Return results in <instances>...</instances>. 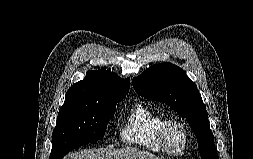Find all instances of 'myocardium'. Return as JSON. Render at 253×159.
<instances>
[{"instance_id":"myocardium-1","label":"myocardium","mask_w":253,"mask_h":159,"mask_svg":"<svg viewBox=\"0 0 253 159\" xmlns=\"http://www.w3.org/2000/svg\"><path fill=\"white\" fill-rule=\"evenodd\" d=\"M171 125L177 126L182 132L183 146L179 151L171 150L167 144V141H166L167 131ZM157 140H158L160 147L168 154H170L172 156L183 155L185 150L187 149V146L189 143L188 131H187V128H186L184 122L177 117L164 118L157 130Z\"/></svg>"}]
</instances>
